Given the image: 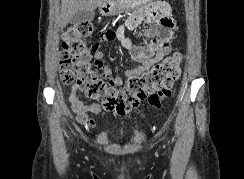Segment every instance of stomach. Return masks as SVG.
Segmentation results:
<instances>
[{
    "instance_id": "stomach-1",
    "label": "stomach",
    "mask_w": 244,
    "mask_h": 179,
    "mask_svg": "<svg viewBox=\"0 0 244 179\" xmlns=\"http://www.w3.org/2000/svg\"><path fill=\"white\" fill-rule=\"evenodd\" d=\"M141 0H105L103 4L99 6L100 14L103 16H116L121 12H129L134 10L136 6H139Z\"/></svg>"
}]
</instances>
